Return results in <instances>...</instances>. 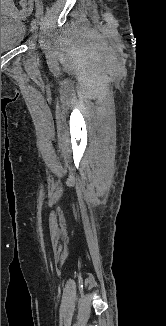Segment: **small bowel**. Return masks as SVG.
<instances>
[{"instance_id": "small-bowel-1", "label": "small bowel", "mask_w": 166, "mask_h": 326, "mask_svg": "<svg viewBox=\"0 0 166 326\" xmlns=\"http://www.w3.org/2000/svg\"><path fill=\"white\" fill-rule=\"evenodd\" d=\"M1 4L8 5L12 10H14L12 7V0H1Z\"/></svg>"}]
</instances>
